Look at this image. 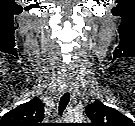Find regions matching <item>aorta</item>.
Here are the masks:
<instances>
[{
	"mask_svg": "<svg viewBox=\"0 0 135 126\" xmlns=\"http://www.w3.org/2000/svg\"><path fill=\"white\" fill-rule=\"evenodd\" d=\"M82 119H83V117L80 114H75V115L69 116L70 121H74V120L75 121H82Z\"/></svg>",
	"mask_w": 135,
	"mask_h": 126,
	"instance_id": "aorta-1",
	"label": "aorta"
}]
</instances>
